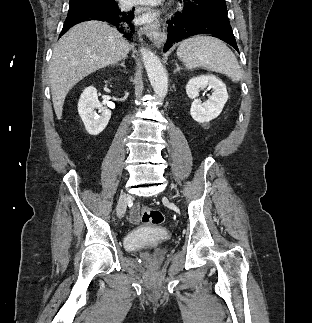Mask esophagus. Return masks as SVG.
<instances>
[{
  "mask_svg": "<svg viewBox=\"0 0 312 323\" xmlns=\"http://www.w3.org/2000/svg\"><path fill=\"white\" fill-rule=\"evenodd\" d=\"M135 12L137 15H139L141 13H150L151 10L147 6H141L136 7ZM141 32H143L158 48L166 39L164 33L160 30L159 23L157 21L151 23L150 25H145L143 28H141Z\"/></svg>",
  "mask_w": 312,
  "mask_h": 323,
  "instance_id": "1",
  "label": "esophagus"
}]
</instances>
